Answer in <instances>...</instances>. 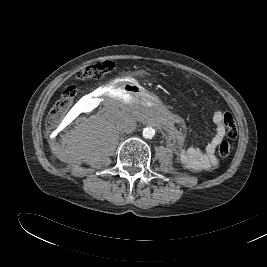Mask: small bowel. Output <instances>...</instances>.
<instances>
[{
    "mask_svg": "<svg viewBox=\"0 0 267 267\" xmlns=\"http://www.w3.org/2000/svg\"><path fill=\"white\" fill-rule=\"evenodd\" d=\"M225 115L226 113L219 110L213 113L212 120L215 129L204 149L186 147L178 150L177 157L183 166L193 171L211 170L217 166L218 160L215 151L218 144L227 135V128L224 121ZM170 132L172 136L180 140V133L172 124H170Z\"/></svg>",
    "mask_w": 267,
    "mask_h": 267,
    "instance_id": "small-bowel-1",
    "label": "small bowel"
}]
</instances>
